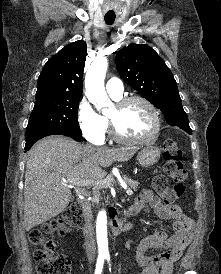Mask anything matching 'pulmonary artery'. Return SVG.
I'll return each mask as SVG.
<instances>
[{
  "label": "pulmonary artery",
  "mask_w": 221,
  "mask_h": 274,
  "mask_svg": "<svg viewBox=\"0 0 221 274\" xmlns=\"http://www.w3.org/2000/svg\"><path fill=\"white\" fill-rule=\"evenodd\" d=\"M107 92L114 97H121L124 92V86L119 78L112 77L106 83Z\"/></svg>",
  "instance_id": "obj_1"
}]
</instances>
